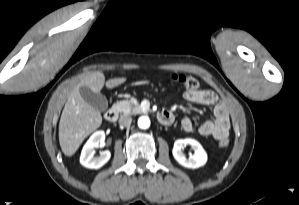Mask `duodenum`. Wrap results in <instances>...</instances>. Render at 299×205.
I'll return each mask as SVG.
<instances>
[{
	"label": "duodenum",
	"instance_id": "duodenum-1",
	"mask_svg": "<svg viewBox=\"0 0 299 205\" xmlns=\"http://www.w3.org/2000/svg\"><path fill=\"white\" fill-rule=\"evenodd\" d=\"M104 116L107 121L114 122L118 118V109L115 107H112L105 112ZM158 120L163 125H169L173 122L174 117H173L172 113H170L168 111H163L159 114Z\"/></svg>",
	"mask_w": 299,
	"mask_h": 205
}]
</instances>
